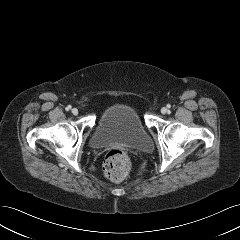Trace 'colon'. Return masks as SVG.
<instances>
[{
	"instance_id": "colon-1",
	"label": "colon",
	"mask_w": 240,
	"mask_h": 240,
	"mask_svg": "<svg viewBox=\"0 0 240 240\" xmlns=\"http://www.w3.org/2000/svg\"><path fill=\"white\" fill-rule=\"evenodd\" d=\"M131 170L129 156L120 149L110 150L103 161L102 171L105 177L112 181L123 180Z\"/></svg>"
}]
</instances>
